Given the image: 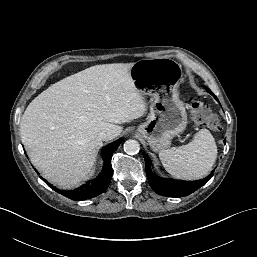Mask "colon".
<instances>
[{"label": "colon", "mask_w": 257, "mask_h": 257, "mask_svg": "<svg viewBox=\"0 0 257 257\" xmlns=\"http://www.w3.org/2000/svg\"><path fill=\"white\" fill-rule=\"evenodd\" d=\"M191 114L193 120L208 128L218 131L221 129L218 118L210 111V109L199 99H193L191 103Z\"/></svg>", "instance_id": "obj_1"}]
</instances>
